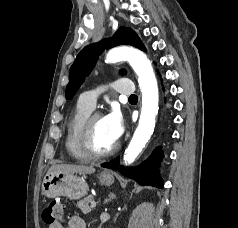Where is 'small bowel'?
<instances>
[{
	"label": "small bowel",
	"mask_w": 238,
	"mask_h": 228,
	"mask_svg": "<svg viewBox=\"0 0 238 228\" xmlns=\"http://www.w3.org/2000/svg\"><path fill=\"white\" fill-rule=\"evenodd\" d=\"M48 228H64L62 224H52L48 225ZM67 228H86L85 221L78 215H73L68 217V227Z\"/></svg>",
	"instance_id": "1"
}]
</instances>
